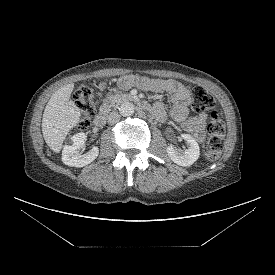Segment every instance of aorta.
<instances>
[{"label":"aorta","instance_id":"762f6f07","mask_svg":"<svg viewBox=\"0 0 275 275\" xmlns=\"http://www.w3.org/2000/svg\"><path fill=\"white\" fill-rule=\"evenodd\" d=\"M120 114L124 117L131 116L135 112V106L131 102H124L119 107Z\"/></svg>","mask_w":275,"mask_h":275}]
</instances>
